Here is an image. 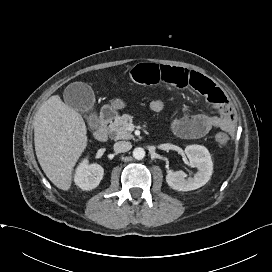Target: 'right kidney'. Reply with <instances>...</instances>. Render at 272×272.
Wrapping results in <instances>:
<instances>
[{
	"label": "right kidney",
	"mask_w": 272,
	"mask_h": 272,
	"mask_svg": "<svg viewBox=\"0 0 272 272\" xmlns=\"http://www.w3.org/2000/svg\"><path fill=\"white\" fill-rule=\"evenodd\" d=\"M104 174L103 168L98 164H88L84 159L78 166L74 181L82 190H92L96 188Z\"/></svg>",
	"instance_id": "obj_1"
}]
</instances>
